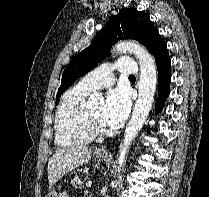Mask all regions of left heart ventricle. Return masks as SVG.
<instances>
[{
	"label": "left heart ventricle",
	"mask_w": 209,
	"mask_h": 197,
	"mask_svg": "<svg viewBox=\"0 0 209 197\" xmlns=\"http://www.w3.org/2000/svg\"><path fill=\"white\" fill-rule=\"evenodd\" d=\"M102 107H103V104L98 103L96 105L88 107V110L97 121H99L102 125H104L102 120H101Z\"/></svg>",
	"instance_id": "1"
}]
</instances>
